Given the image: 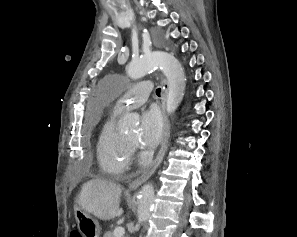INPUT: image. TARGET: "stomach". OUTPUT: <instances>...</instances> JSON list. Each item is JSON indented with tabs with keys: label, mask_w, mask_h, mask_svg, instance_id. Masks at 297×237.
Returning <instances> with one entry per match:
<instances>
[{
	"label": "stomach",
	"mask_w": 297,
	"mask_h": 237,
	"mask_svg": "<svg viewBox=\"0 0 297 237\" xmlns=\"http://www.w3.org/2000/svg\"><path fill=\"white\" fill-rule=\"evenodd\" d=\"M75 218L77 220L78 230L82 237H99V223L96 219L92 218L89 213L78 208L75 211Z\"/></svg>",
	"instance_id": "stomach-1"
}]
</instances>
